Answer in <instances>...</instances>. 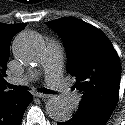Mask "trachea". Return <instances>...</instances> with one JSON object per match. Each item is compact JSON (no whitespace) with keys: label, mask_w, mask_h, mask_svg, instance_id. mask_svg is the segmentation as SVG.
Wrapping results in <instances>:
<instances>
[{"label":"trachea","mask_w":125,"mask_h":125,"mask_svg":"<svg viewBox=\"0 0 125 125\" xmlns=\"http://www.w3.org/2000/svg\"><path fill=\"white\" fill-rule=\"evenodd\" d=\"M6 85L9 88L14 89L15 91H19V92H23V91L28 90V88L25 86H16V85H12L10 83H6ZM38 91L46 93V94H56L54 91L47 89V88H41V89H38Z\"/></svg>","instance_id":"3493384b"}]
</instances>
